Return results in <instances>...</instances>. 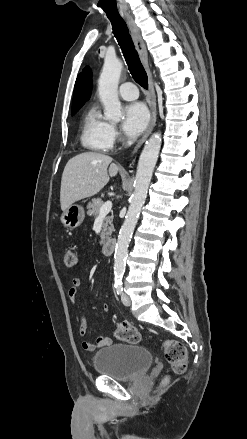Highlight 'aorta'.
Segmentation results:
<instances>
[{"mask_svg": "<svg viewBox=\"0 0 247 439\" xmlns=\"http://www.w3.org/2000/svg\"><path fill=\"white\" fill-rule=\"evenodd\" d=\"M122 69L123 63L121 60L106 58L98 80V93L104 105L105 117L112 121H119L122 117L121 103L118 98V84ZM161 142V134H153L146 142L139 158L134 181V192L131 196L128 212L120 229L115 248V282H120L125 272L128 246L147 196L153 170L160 152Z\"/></svg>", "mask_w": 247, "mask_h": 439, "instance_id": "1", "label": "aorta"}]
</instances>
